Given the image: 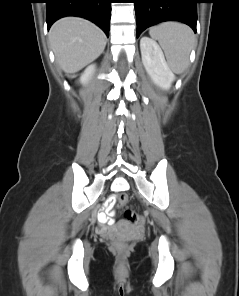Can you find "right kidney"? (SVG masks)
Segmentation results:
<instances>
[{
    "instance_id": "right-kidney-1",
    "label": "right kidney",
    "mask_w": 239,
    "mask_h": 296,
    "mask_svg": "<svg viewBox=\"0 0 239 296\" xmlns=\"http://www.w3.org/2000/svg\"><path fill=\"white\" fill-rule=\"evenodd\" d=\"M96 70V66L94 64L89 65L85 71L82 73V75L80 76L79 82L81 84H87L88 81L91 79V77L93 76L94 72Z\"/></svg>"
}]
</instances>
